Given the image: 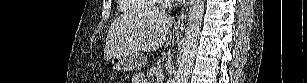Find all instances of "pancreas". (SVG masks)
<instances>
[{
    "mask_svg": "<svg viewBox=\"0 0 307 83\" xmlns=\"http://www.w3.org/2000/svg\"><path fill=\"white\" fill-rule=\"evenodd\" d=\"M158 74H161L160 66H154L147 71V76L152 77V78L158 76Z\"/></svg>",
    "mask_w": 307,
    "mask_h": 83,
    "instance_id": "pancreas-1",
    "label": "pancreas"
}]
</instances>
